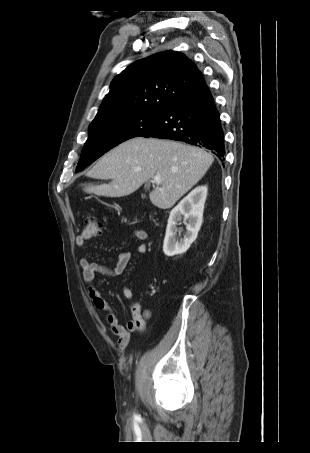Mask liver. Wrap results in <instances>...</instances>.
Listing matches in <instances>:
<instances>
[{"label":"liver","mask_w":310,"mask_h":453,"mask_svg":"<svg viewBox=\"0 0 310 453\" xmlns=\"http://www.w3.org/2000/svg\"><path fill=\"white\" fill-rule=\"evenodd\" d=\"M213 161L210 153L198 147L136 137L110 150L87 173L92 178L111 179V183L89 185L83 190L98 196L123 197L159 175L161 183L150 192V201L168 209L204 176Z\"/></svg>","instance_id":"6515ba94"}]
</instances>
